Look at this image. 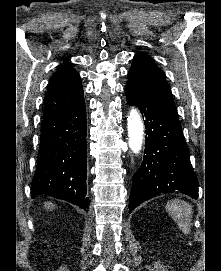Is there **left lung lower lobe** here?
<instances>
[{"label": "left lung lower lobe", "instance_id": "0a47b994", "mask_svg": "<svg viewBox=\"0 0 221 271\" xmlns=\"http://www.w3.org/2000/svg\"><path fill=\"white\" fill-rule=\"evenodd\" d=\"M129 105L139 108L146 128L144 159L133 175L129 212L162 193L181 192L198 198V180L178 116L152 102L139 89L126 84Z\"/></svg>", "mask_w": 221, "mask_h": 271}]
</instances>
